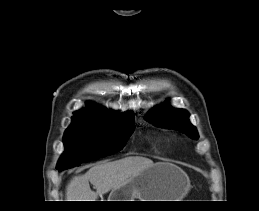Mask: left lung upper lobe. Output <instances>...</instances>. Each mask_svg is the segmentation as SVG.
<instances>
[{"label":"left lung upper lobe","mask_w":259,"mask_h":211,"mask_svg":"<svg viewBox=\"0 0 259 211\" xmlns=\"http://www.w3.org/2000/svg\"><path fill=\"white\" fill-rule=\"evenodd\" d=\"M188 117L189 114L185 110L163 105L151 110L145 116V120L163 128L179 130L192 139H198V132Z\"/></svg>","instance_id":"left-lung-upper-lobe-1"}]
</instances>
